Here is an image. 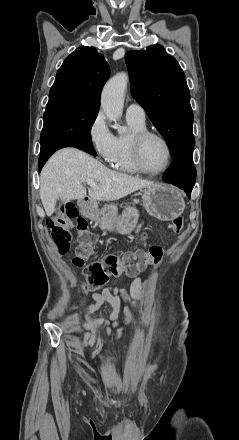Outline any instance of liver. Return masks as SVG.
I'll return each mask as SVG.
<instances>
[{
    "label": "liver",
    "mask_w": 239,
    "mask_h": 440,
    "mask_svg": "<svg viewBox=\"0 0 239 440\" xmlns=\"http://www.w3.org/2000/svg\"><path fill=\"white\" fill-rule=\"evenodd\" d=\"M95 180L88 188L91 200L113 202L143 188H160L159 184L109 170L98 160L75 148H64L51 156L40 176V198L47 216L55 212L56 200H83L86 188L81 184Z\"/></svg>",
    "instance_id": "obj_1"
}]
</instances>
